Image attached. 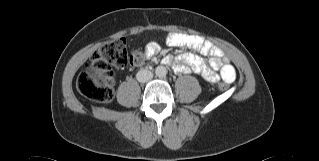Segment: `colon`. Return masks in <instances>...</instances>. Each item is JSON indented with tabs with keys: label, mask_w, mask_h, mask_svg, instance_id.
I'll use <instances>...</instances> for the list:
<instances>
[{
	"label": "colon",
	"mask_w": 319,
	"mask_h": 161,
	"mask_svg": "<svg viewBox=\"0 0 319 161\" xmlns=\"http://www.w3.org/2000/svg\"><path fill=\"white\" fill-rule=\"evenodd\" d=\"M126 44L125 38H114L92 55L86 69L77 78V89L82 95L102 103L113 99L115 77L112 66L125 68L140 65L145 60L141 52L129 55ZM227 88L226 83L219 84L220 90Z\"/></svg>",
	"instance_id": "5ec220e1"
}]
</instances>
